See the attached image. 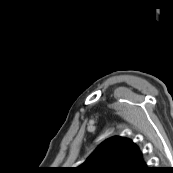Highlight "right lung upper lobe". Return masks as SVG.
<instances>
[{
	"instance_id": "right-lung-upper-lobe-1",
	"label": "right lung upper lobe",
	"mask_w": 173,
	"mask_h": 173,
	"mask_svg": "<svg viewBox=\"0 0 173 173\" xmlns=\"http://www.w3.org/2000/svg\"><path fill=\"white\" fill-rule=\"evenodd\" d=\"M142 161L138 147L129 139L112 137L101 143L76 173H127Z\"/></svg>"
}]
</instances>
